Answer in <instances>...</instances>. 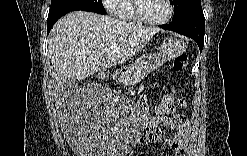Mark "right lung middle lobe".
Here are the masks:
<instances>
[{"label":"right lung middle lobe","instance_id":"obj_1","mask_svg":"<svg viewBox=\"0 0 247 156\" xmlns=\"http://www.w3.org/2000/svg\"><path fill=\"white\" fill-rule=\"evenodd\" d=\"M76 10L105 11L101 0H51L48 16Z\"/></svg>","mask_w":247,"mask_h":156}]
</instances>
